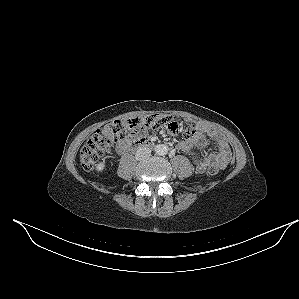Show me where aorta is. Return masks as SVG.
<instances>
[{
  "label": "aorta",
  "instance_id": "aorta-1",
  "mask_svg": "<svg viewBox=\"0 0 299 299\" xmlns=\"http://www.w3.org/2000/svg\"><path fill=\"white\" fill-rule=\"evenodd\" d=\"M168 152V147L166 145H158L156 147V153L159 155H165Z\"/></svg>",
  "mask_w": 299,
  "mask_h": 299
}]
</instances>
